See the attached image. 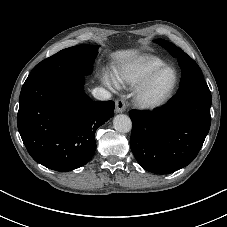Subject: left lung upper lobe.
Returning a JSON list of instances; mask_svg holds the SVG:
<instances>
[{"label":"left lung upper lobe","mask_w":227,"mask_h":227,"mask_svg":"<svg viewBox=\"0 0 227 227\" xmlns=\"http://www.w3.org/2000/svg\"><path fill=\"white\" fill-rule=\"evenodd\" d=\"M155 42L167 49L173 57L177 58L182 69L180 88L170 102H199L211 104L212 97L210 90L196 62L180 48L166 40L157 39Z\"/></svg>","instance_id":"1"}]
</instances>
